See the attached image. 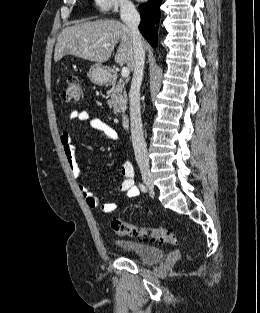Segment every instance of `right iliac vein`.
Wrapping results in <instances>:
<instances>
[{
	"label": "right iliac vein",
	"mask_w": 260,
	"mask_h": 313,
	"mask_svg": "<svg viewBox=\"0 0 260 313\" xmlns=\"http://www.w3.org/2000/svg\"><path fill=\"white\" fill-rule=\"evenodd\" d=\"M141 175L144 183L150 189L153 188V178L148 168H141Z\"/></svg>",
	"instance_id": "63e3f726"
}]
</instances>
